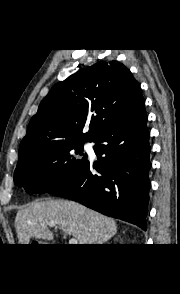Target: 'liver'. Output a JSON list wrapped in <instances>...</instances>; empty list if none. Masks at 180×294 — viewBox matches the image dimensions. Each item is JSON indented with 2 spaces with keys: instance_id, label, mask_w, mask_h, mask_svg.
Instances as JSON below:
<instances>
[{
  "instance_id": "6515ba94",
  "label": "liver",
  "mask_w": 180,
  "mask_h": 294,
  "mask_svg": "<svg viewBox=\"0 0 180 294\" xmlns=\"http://www.w3.org/2000/svg\"><path fill=\"white\" fill-rule=\"evenodd\" d=\"M49 222L78 244H104L117 232L116 222L79 203L67 200H48L20 209L15 217V228L20 244H29L31 238L53 240Z\"/></svg>"
}]
</instances>
